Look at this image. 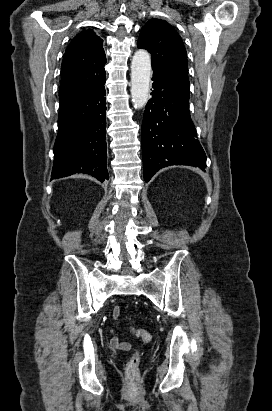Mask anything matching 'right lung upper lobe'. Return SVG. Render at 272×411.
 <instances>
[{
    "instance_id": "obj_1",
    "label": "right lung upper lobe",
    "mask_w": 272,
    "mask_h": 411,
    "mask_svg": "<svg viewBox=\"0 0 272 411\" xmlns=\"http://www.w3.org/2000/svg\"><path fill=\"white\" fill-rule=\"evenodd\" d=\"M102 43L91 29L72 39L61 65L60 101L95 88L106 79Z\"/></svg>"
}]
</instances>
